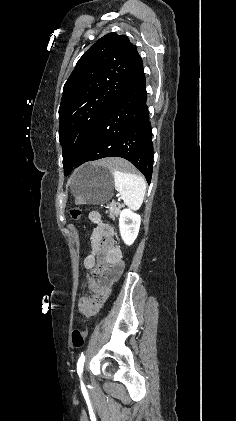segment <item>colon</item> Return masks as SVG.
Listing matches in <instances>:
<instances>
[{
  "instance_id": "5ec220e1",
  "label": "colon",
  "mask_w": 236,
  "mask_h": 421,
  "mask_svg": "<svg viewBox=\"0 0 236 421\" xmlns=\"http://www.w3.org/2000/svg\"><path fill=\"white\" fill-rule=\"evenodd\" d=\"M83 214L82 206H75L70 210V216L73 220H79ZM77 320L80 321L81 318L77 317ZM87 337L86 329H74L71 334L72 345L75 348H80L83 346Z\"/></svg>"
}]
</instances>
